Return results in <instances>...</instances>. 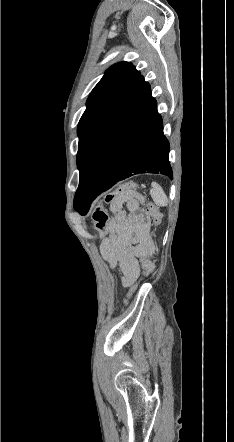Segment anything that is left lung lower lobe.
<instances>
[{"label":"left lung lower lobe","mask_w":234,"mask_h":442,"mask_svg":"<svg viewBox=\"0 0 234 442\" xmlns=\"http://www.w3.org/2000/svg\"><path fill=\"white\" fill-rule=\"evenodd\" d=\"M168 153L157 102L140 75L84 147L74 208L86 214L99 194L134 174L160 173L173 179Z\"/></svg>","instance_id":"obj_1"}]
</instances>
